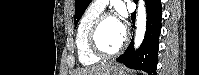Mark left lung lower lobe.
Instances as JSON below:
<instances>
[{
    "label": "left lung lower lobe",
    "instance_id": "1",
    "mask_svg": "<svg viewBox=\"0 0 199 75\" xmlns=\"http://www.w3.org/2000/svg\"><path fill=\"white\" fill-rule=\"evenodd\" d=\"M147 12V25L144 40L140 48L133 49V41L116 61L124 63L128 68L138 69L147 72L149 75H156L159 49V35L161 32L162 8L161 0H145ZM136 14L132 13L133 25Z\"/></svg>",
    "mask_w": 199,
    "mask_h": 75
}]
</instances>
